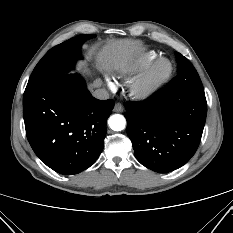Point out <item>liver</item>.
Masks as SVG:
<instances>
[{
  "label": "liver",
  "instance_id": "obj_1",
  "mask_svg": "<svg viewBox=\"0 0 233 233\" xmlns=\"http://www.w3.org/2000/svg\"><path fill=\"white\" fill-rule=\"evenodd\" d=\"M142 50V43L138 40H111L97 53L96 61L100 67L125 72L135 63ZM80 71L85 73L87 69L80 67Z\"/></svg>",
  "mask_w": 233,
  "mask_h": 233
}]
</instances>
